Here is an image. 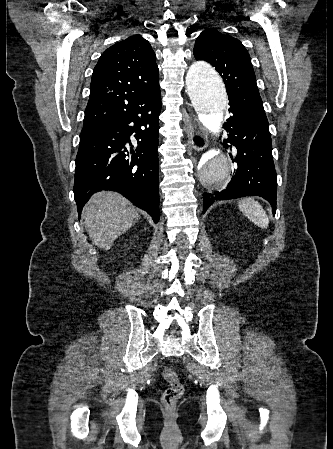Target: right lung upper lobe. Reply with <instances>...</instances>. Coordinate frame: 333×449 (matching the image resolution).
Masks as SVG:
<instances>
[{"mask_svg":"<svg viewBox=\"0 0 333 449\" xmlns=\"http://www.w3.org/2000/svg\"><path fill=\"white\" fill-rule=\"evenodd\" d=\"M155 57L140 35L105 50L93 71L83 128L117 118L160 94Z\"/></svg>","mask_w":333,"mask_h":449,"instance_id":"right-lung-upper-lobe-1","label":"right lung upper lobe"}]
</instances>
